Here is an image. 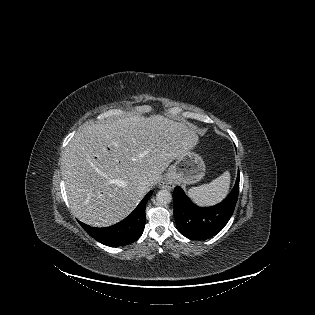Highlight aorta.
<instances>
[{"mask_svg": "<svg viewBox=\"0 0 315 315\" xmlns=\"http://www.w3.org/2000/svg\"><path fill=\"white\" fill-rule=\"evenodd\" d=\"M171 200H172V195L168 190H160L156 194V201L161 206L169 204Z\"/></svg>", "mask_w": 315, "mask_h": 315, "instance_id": "1", "label": "aorta"}]
</instances>
